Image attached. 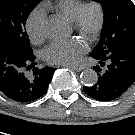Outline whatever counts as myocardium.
<instances>
[{
	"mask_svg": "<svg viewBox=\"0 0 135 135\" xmlns=\"http://www.w3.org/2000/svg\"><path fill=\"white\" fill-rule=\"evenodd\" d=\"M90 12L94 13L92 21L88 17ZM72 23L74 29L89 41L95 40L105 24V11L102 4L95 0L83 3Z\"/></svg>",
	"mask_w": 135,
	"mask_h": 135,
	"instance_id": "myocardium-1",
	"label": "myocardium"
}]
</instances>
